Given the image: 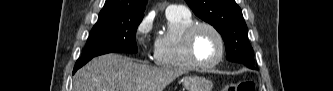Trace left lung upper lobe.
I'll return each instance as SVG.
<instances>
[{"label":"left lung upper lobe","mask_w":333,"mask_h":91,"mask_svg":"<svg viewBox=\"0 0 333 91\" xmlns=\"http://www.w3.org/2000/svg\"><path fill=\"white\" fill-rule=\"evenodd\" d=\"M193 12L221 34L226 58L250 67L254 52L248 42V30L235 0H186Z\"/></svg>","instance_id":"5c2ea615"}]
</instances>
